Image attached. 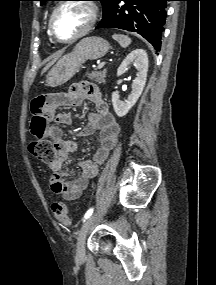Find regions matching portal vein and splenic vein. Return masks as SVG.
Returning <instances> with one entry per match:
<instances>
[{
    "mask_svg": "<svg viewBox=\"0 0 216 285\" xmlns=\"http://www.w3.org/2000/svg\"><path fill=\"white\" fill-rule=\"evenodd\" d=\"M104 64H105V63H101V64L98 66V69L103 68Z\"/></svg>",
    "mask_w": 216,
    "mask_h": 285,
    "instance_id": "1",
    "label": "portal vein and splenic vein"
}]
</instances>
